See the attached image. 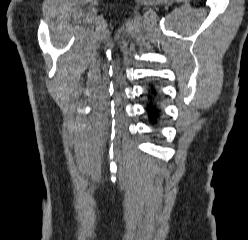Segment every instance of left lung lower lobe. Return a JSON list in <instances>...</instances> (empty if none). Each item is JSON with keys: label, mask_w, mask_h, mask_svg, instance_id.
I'll use <instances>...</instances> for the list:
<instances>
[{"label": "left lung lower lobe", "mask_w": 248, "mask_h": 240, "mask_svg": "<svg viewBox=\"0 0 248 240\" xmlns=\"http://www.w3.org/2000/svg\"><path fill=\"white\" fill-rule=\"evenodd\" d=\"M147 97H148V101L146 105V111L148 113L151 124L154 125L160 119L161 110L157 102L158 93H157L156 88L153 85H150Z\"/></svg>", "instance_id": "1"}]
</instances>
